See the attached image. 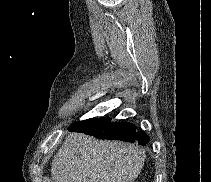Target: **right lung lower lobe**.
Returning a JSON list of instances; mask_svg holds the SVG:
<instances>
[{"label":"right lung lower lobe","instance_id":"obj_1","mask_svg":"<svg viewBox=\"0 0 211 182\" xmlns=\"http://www.w3.org/2000/svg\"><path fill=\"white\" fill-rule=\"evenodd\" d=\"M110 118H91L73 123L68 130L82 132L100 139L122 140L128 142L137 141L140 145H146L149 137L141 131H136V126L129 122H111Z\"/></svg>","mask_w":211,"mask_h":182}]
</instances>
